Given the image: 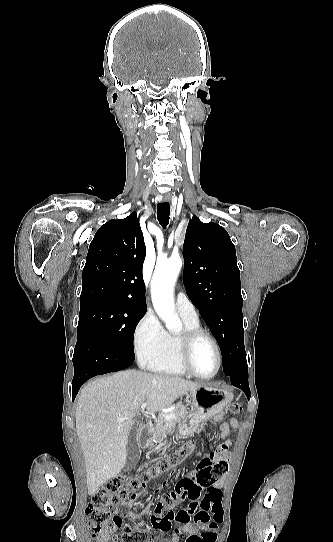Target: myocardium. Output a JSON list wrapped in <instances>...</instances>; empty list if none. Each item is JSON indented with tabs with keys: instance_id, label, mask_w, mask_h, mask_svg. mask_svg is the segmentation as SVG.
Instances as JSON below:
<instances>
[{
	"instance_id": "obj_1",
	"label": "myocardium",
	"mask_w": 333,
	"mask_h": 542,
	"mask_svg": "<svg viewBox=\"0 0 333 542\" xmlns=\"http://www.w3.org/2000/svg\"><path fill=\"white\" fill-rule=\"evenodd\" d=\"M202 339H206L212 344L217 355V368L213 374L208 375V376H203V375L198 374L197 372L193 370L191 366V354H192L193 347L198 341ZM178 357L184 371L187 374L198 379L209 380V379L214 378L219 373L222 366V353L217 341L215 340L213 336H211L209 333L205 332L202 329L189 330V331L184 332L180 336L179 342H178Z\"/></svg>"
}]
</instances>
